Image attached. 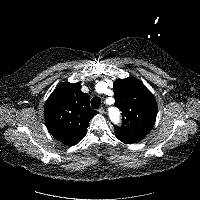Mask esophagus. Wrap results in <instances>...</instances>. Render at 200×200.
<instances>
[{
    "instance_id": "34e87169",
    "label": "esophagus",
    "mask_w": 200,
    "mask_h": 200,
    "mask_svg": "<svg viewBox=\"0 0 200 200\" xmlns=\"http://www.w3.org/2000/svg\"><path fill=\"white\" fill-rule=\"evenodd\" d=\"M98 112H99L100 114H104L105 110H104L103 107H100V108L98 109Z\"/></svg>"
}]
</instances>
